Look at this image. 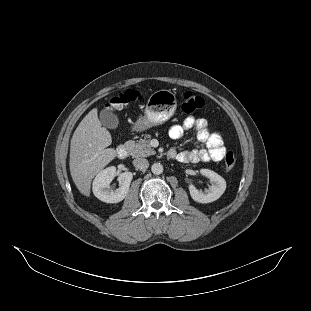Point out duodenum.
<instances>
[{
	"instance_id": "410a0bca",
	"label": "duodenum",
	"mask_w": 311,
	"mask_h": 311,
	"mask_svg": "<svg viewBox=\"0 0 311 311\" xmlns=\"http://www.w3.org/2000/svg\"><path fill=\"white\" fill-rule=\"evenodd\" d=\"M128 154V148L126 145L121 144L117 147L116 149V156L120 159H124ZM170 157H171V153H169Z\"/></svg>"
}]
</instances>
